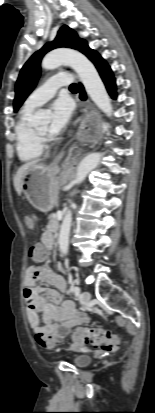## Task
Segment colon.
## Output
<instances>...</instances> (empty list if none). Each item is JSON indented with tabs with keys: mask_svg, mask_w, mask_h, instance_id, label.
<instances>
[{
	"mask_svg": "<svg viewBox=\"0 0 155 413\" xmlns=\"http://www.w3.org/2000/svg\"><path fill=\"white\" fill-rule=\"evenodd\" d=\"M30 258L37 262H44L46 252L43 246L36 244L30 249ZM42 347L53 349L55 342L47 338H39L37 341ZM87 344L99 346L104 352H113L118 349L119 338L102 328L85 327L77 329L73 334V349H79Z\"/></svg>",
	"mask_w": 155,
	"mask_h": 413,
	"instance_id": "1",
	"label": "colon"
}]
</instances>
